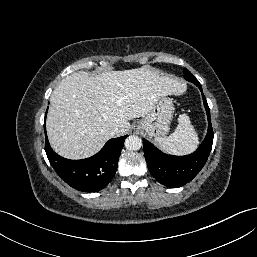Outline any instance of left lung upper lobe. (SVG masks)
<instances>
[{
    "instance_id": "5c2ea615",
    "label": "left lung upper lobe",
    "mask_w": 257,
    "mask_h": 257,
    "mask_svg": "<svg viewBox=\"0 0 257 257\" xmlns=\"http://www.w3.org/2000/svg\"><path fill=\"white\" fill-rule=\"evenodd\" d=\"M184 78L187 81H190L194 84H196V82H198V80L191 74V72L188 69H184Z\"/></svg>"
}]
</instances>
